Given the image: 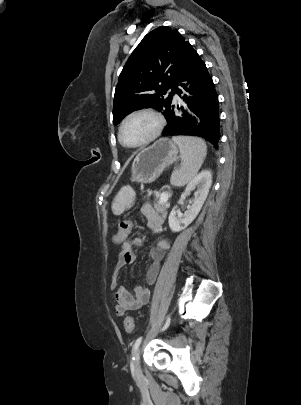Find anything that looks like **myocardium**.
Wrapping results in <instances>:
<instances>
[{
    "mask_svg": "<svg viewBox=\"0 0 301 405\" xmlns=\"http://www.w3.org/2000/svg\"><path fill=\"white\" fill-rule=\"evenodd\" d=\"M141 115H147V116L152 117L156 123L155 129L150 134V136H148L142 142L135 144V145H128L122 139L123 128L130 119L137 117V116H141ZM164 126H165V119L160 112H158L154 109H151V108L138 109V110H135V111L129 113L121 122L119 130H118V140L124 147L130 148V149L144 147V146L148 145L149 143H151L152 141H154L161 134L162 130L164 129Z\"/></svg>",
    "mask_w": 301,
    "mask_h": 405,
    "instance_id": "f54148a6",
    "label": "myocardium"
}]
</instances>
